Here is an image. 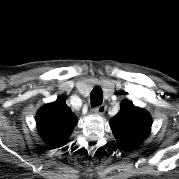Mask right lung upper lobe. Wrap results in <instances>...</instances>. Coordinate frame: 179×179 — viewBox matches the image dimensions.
I'll use <instances>...</instances> for the list:
<instances>
[{
    "instance_id": "cb5924a9",
    "label": "right lung upper lobe",
    "mask_w": 179,
    "mask_h": 179,
    "mask_svg": "<svg viewBox=\"0 0 179 179\" xmlns=\"http://www.w3.org/2000/svg\"><path fill=\"white\" fill-rule=\"evenodd\" d=\"M40 136L53 148L63 146L70 137L77 118L60 97L43 106L36 116Z\"/></svg>"
}]
</instances>
